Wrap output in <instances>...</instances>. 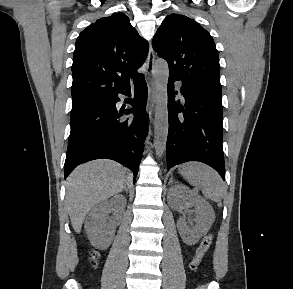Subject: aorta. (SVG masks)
Segmentation results:
<instances>
[{"mask_svg":"<svg viewBox=\"0 0 293 289\" xmlns=\"http://www.w3.org/2000/svg\"><path fill=\"white\" fill-rule=\"evenodd\" d=\"M153 73L156 87L154 146L156 154L161 157L166 149V142L168 137L167 85L169 69L167 62L164 60H157L154 65Z\"/></svg>","mask_w":293,"mask_h":289,"instance_id":"762f6f07","label":"aorta"}]
</instances>
